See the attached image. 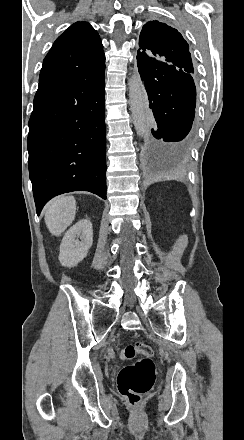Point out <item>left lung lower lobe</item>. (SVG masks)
<instances>
[{"instance_id":"obj_1","label":"left lung lower lobe","mask_w":244,"mask_h":440,"mask_svg":"<svg viewBox=\"0 0 244 440\" xmlns=\"http://www.w3.org/2000/svg\"><path fill=\"white\" fill-rule=\"evenodd\" d=\"M152 109L144 145L149 155L184 151L192 139L196 87L192 74L165 66L137 63Z\"/></svg>"}]
</instances>
